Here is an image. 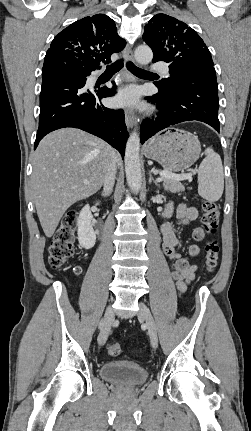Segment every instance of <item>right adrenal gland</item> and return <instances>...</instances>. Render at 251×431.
Wrapping results in <instances>:
<instances>
[{
	"label": "right adrenal gland",
	"instance_id": "2a0ac1e0",
	"mask_svg": "<svg viewBox=\"0 0 251 431\" xmlns=\"http://www.w3.org/2000/svg\"><path fill=\"white\" fill-rule=\"evenodd\" d=\"M102 196H103V197H108V196H109V194H106V193L102 192Z\"/></svg>",
	"mask_w": 251,
	"mask_h": 431
}]
</instances>
